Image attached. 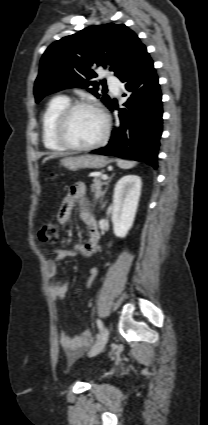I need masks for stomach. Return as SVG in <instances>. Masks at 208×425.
Segmentation results:
<instances>
[{"instance_id":"stomach-1","label":"stomach","mask_w":208,"mask_h":425,"mask_svg":"<svg viewBox=\"0 0 208 425\" xmlns=\"http://www.w3.org/2000/svg\"><path fill=\"white\" fill-rule=\"evenodd\" d=\"M110 159L98 155H81L78 157H67L61 160V165L70 171L80 169H101L110 163Z\"/></svg>"}]
</instances>
